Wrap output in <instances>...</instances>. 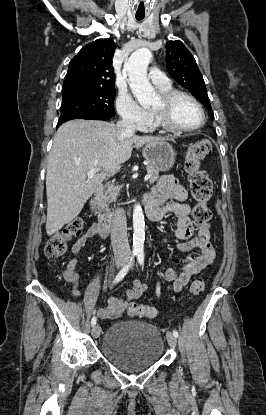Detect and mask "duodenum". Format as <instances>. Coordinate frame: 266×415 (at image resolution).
<instances>
[{
	"instance_id": "410a0bca",
	"label": "duodenum",
	"mask_w": 266,
	"mask_h": 415,
	"mask_svg": "<svg viewBox=\"0 0 266 415\" xmlns=\"http://www.w3.org/2000/svg\"><path fill=\"white\" fill-rule=\"evenodd\" d=\"M103 193V186L98 185L93 192V195L89 201V208L91 213L97 215L100 225L107 231H109L115 224L116 216L112 213L101 212L98 209L99 202Z\"/></svg>"
}]
</instances>
